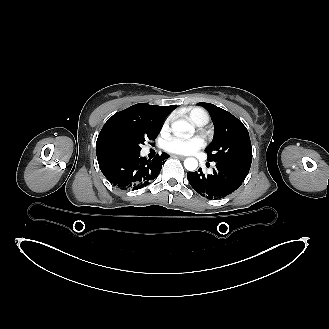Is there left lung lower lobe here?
<instances>
[{"mask_svg":"<svg viewBox=\"0 0 329 329\" xmlns=\"http://www.w3.org/2000/svg\"><path fill=\"white\" fill-rule=\"evenodd\" d=\"M248 173L237 168L216 163L213 174L205 175L200 168L196 172H188L187 178L192 188L208 199H220L237 190Z\"/></svg>","mask_w":329,"mask_h":329,"instance_id":"1","label":"left lung lower lobe"}]
</instances>
